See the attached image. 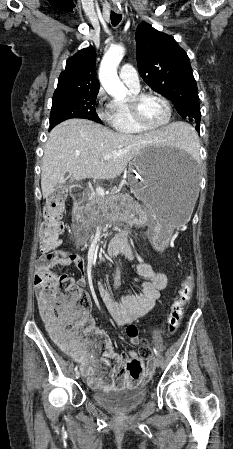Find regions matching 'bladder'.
Segmentation results:
<instances>
[{"mask_svg":"<svg viewBox=\"0 0 233 449\" xmlns=\"http://www.w3.org/2000/svg\"><path fill=\"white\" fill-rule=\"evenodd\" d=\"M93 401L100 408L113 413H126L137 409L147 398L146 388L121 390H95Z\"/></svg>","mask_w":233,"mask_h":449,"instance_id":"obj_1","label":"bladder"}]
</instances>
